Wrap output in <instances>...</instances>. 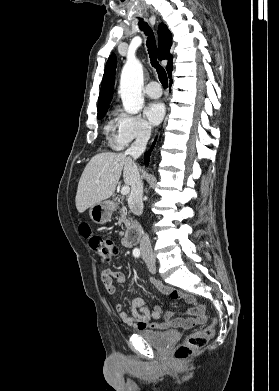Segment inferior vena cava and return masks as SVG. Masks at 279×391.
<instances>
[{
  "mask_svg": "<svg viewBox=\"0 0 279 391\" xmlns=\"http://www.w3.org/2000/svg\"><path fill=\"white\" fill-rule=\"evenodd\" d=\"M151 128L149 126L144 127L141 132L138 134L135 142L125 151V156H129L133 159L140 157L145 149L148 140L150 139ZM132 160V159H131ZM131 193L128 198V204L130 210L137 216H140L143 213V182L138 171V168L134 161L132 160L131 166ZM140 250L143 255L149 254L152 255V247L150 244L149 237L146 233H143Z\"/></svg>",
  "mask_w": 279,
  "mask_h": 391,
  "instance_id": "1",
  "label": "inferior vena cava"
}]
</instances>
